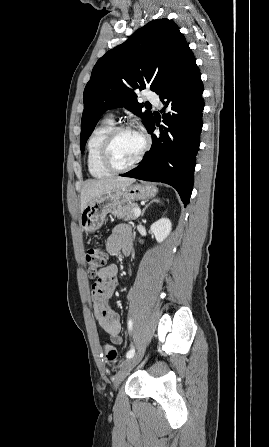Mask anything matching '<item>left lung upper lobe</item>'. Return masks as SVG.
Instances as JSON below:
<instances>
[{
	"instance_id": "left-lung-upper-lobe-1",
	"label": "left lung upper lobe",
	"mask_w": 269,
	"mask_h": 447,
	"mask_svg": "<svg viewBox=\"0 0 269 447\" xmlns=\"http://www.w3.org/2000/svg\"><path fill=\"white\" fill-rule=\"evenodd\" d=\"M189 48L178 26L168 19L153 20L137 30L95 64L84 90L80 148L93 132L101 115L111 108L125 107L141 117L147 129L153 115L138 103L135 89L160 94Z\"/></svg>"
}]
</instances>
